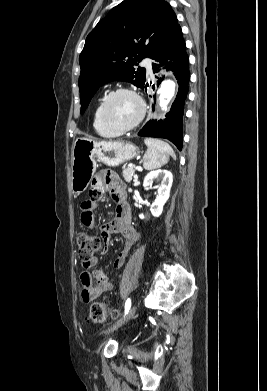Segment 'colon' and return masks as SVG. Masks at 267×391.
I'll list each match as a JSON object with an SVG mask.
<instances>
[{
  "label": "colon",
  "mask_w": 267,
  "mask_h": 391,
  "mask_svg": "<svg viewBox=\"0 0 267 391\" xmlns=\"http://www.w3.org/2000/svg\"><path fill=\"white\" fill-rule=\"evenodd\" d=\"M76 241L78 246V257L83 265H88L102 246L101 237L87 231H81L77 235ZM109 315L113 318H117L119 312L116 309L109 308L105 303L95 302L89 309L87 320L93 323H102Z\"/></svg>",
  "instance_id": "5ec220e1"
}]
</instances>
